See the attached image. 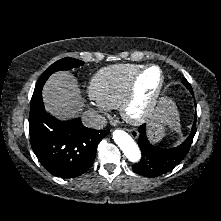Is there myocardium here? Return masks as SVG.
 Masks as SVG:
<instances>
[{"instance_id": "f54148a6", "label": "myocardium", "mask_w": 221, "mask_h": 221, "mask_svg": "<svg viewBox=\"0 0 221 221\" xmlns=\"http://www.w3.org/2000/svg\"><path fill=\"white\" fill-rule=\"evenodd\" d=\"M150 69H156L159 73V82L148 99L146 105L142 108L137 107L139 102L138 97V82ZM165 84V76L162 69L155 64H149L140 68L131 78L127 91L119 105L122 117L130 124L140 125L147 122L153 115L156 106L161 97Z\"/></svg>"}]
</instances>
